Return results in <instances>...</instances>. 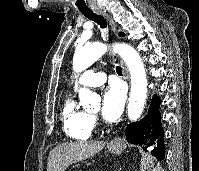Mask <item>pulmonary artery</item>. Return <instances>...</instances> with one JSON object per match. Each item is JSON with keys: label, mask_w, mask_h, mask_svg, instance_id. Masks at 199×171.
Returning a JSON list of instances; mask_svg holds the SVG:
<instances>
[{"label": "pulmonary artery", "mask_w": 199, "mask_h": 171, "mask_svg": "<svg viewBox=\"0 0 199 171\" xmlns=\"http://www.w3.org/2000/svg\"><path fill=\"white\" fill-rule=\"evenodd\" d=\"M105 80L106 74L103 71L87 69L76 80L74 87L77 88L80 85L96 87L101 85Z\"/></svg>", "instance_id": "e3ab8cb5"}]
</instances>
